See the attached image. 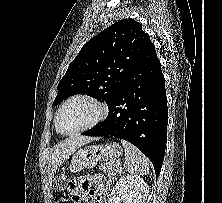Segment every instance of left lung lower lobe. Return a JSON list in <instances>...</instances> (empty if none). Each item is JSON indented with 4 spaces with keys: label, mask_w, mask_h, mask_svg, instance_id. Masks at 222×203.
Returning <instances> with one entry per match:
<instances>
[{
    "label": "left lung lower lobe",
    "mask_w": 222,
    "mask_h": 203,
    "mask_svg": "<svg viewBox=\"0 0 222 203\" xmlns=\"http://www.w3.org/2000/svg\"><path fill=\"white\" fill-rule=\"evenodd\" d=\"M108 108L107 118L82 134L129 141L151 160L158 176L166 148L168 109L165 80L151 41Z\"/></svg>",
    "instance_id": "obj_1"
}]
</instances>
